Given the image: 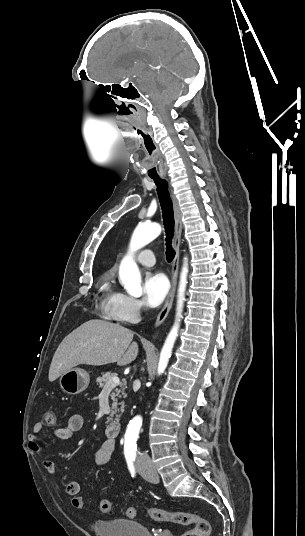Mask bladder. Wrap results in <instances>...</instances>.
<instances>
[{
  "mask_svg": "<svg viewBox=\"0 0 305 536\" xmlns=\"http://www.w3.org/2000/svg\"><path fill=\"white\" fill-rule=\"evenodd\" d=\"M92 528L96 536H152L139 521L121 517L96 520Z\"/></svg>",
  "mask_w": 305,
  "mask_h": 536,
  "instance_id": "31cf9c89",
  "label": "bladder"
}]
</instances>
